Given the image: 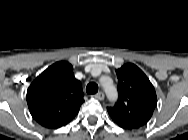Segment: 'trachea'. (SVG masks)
Instances as JSON below:
<instances>
[{
    "instance_id": "1",
    "label": "trachea",
    "mask_w": 188,
    "mask_h": 140,
    "mask_svg": "<svg viewBox=\"0 0 188 140\" xmlns=\"http://www.w3.org/2000/svg\"><path fill=\"white\" fill-rule=\"evenodd\" d=\"M86 92L88 94H95L98 92V85L94 82H91L86 87Z\"/></svg>"
}]
</instances>
